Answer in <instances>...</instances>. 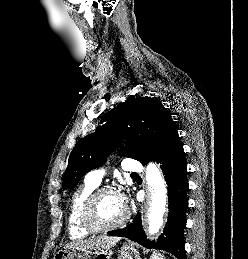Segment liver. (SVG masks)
I'll return each instance as SVG.
<instances>
[{
  "instance_id": "1",
  "label": "liver",
  "mask_w": 248,
  "mask_h": 259,
  "mask_svg": "<svg viewBox=\"0 0 248 259\" xmlns=\"http://www.w3.org/2000/svg\"><path fill=\"white\" fill-rule=\"evenodd\" d=\"M120 237L115 236H98L91 239L78 240L70 243L67 247H76L86 250H109L114 247L119 241Z\"/></svg>"
}]
</instances>
